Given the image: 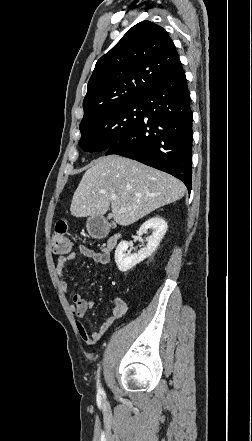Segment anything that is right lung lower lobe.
<instances>
[{"label": "right lung lower lobe", "mask_w": 252, "mask_h": 441, "mask_svg": "<svg viewBox=\"0 0 252 441\" xmlns=\"http://www.w3.org/2000/svg\"><path fill=\"white\" fill-rule=\"evenodd\" d=\"M142 118L132 131L106 151L192 182V111L181 63L141 98Z\"/></svg>", "instance_id": "1"}]
</instances>
